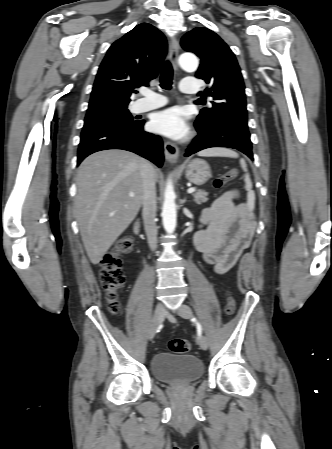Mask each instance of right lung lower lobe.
I'll return each mask as SVG.
<instances>
[{"instance_id":"right-lung-lower-lobe-1","label":"right lung lower lobe","mask_w":332,"mask_h":449,"mask_svg":"<svg viewBox=\"0 0 332 449\" xmlns=\"http://www.w3.org/2000/svg\"><path fill=\"white\" fill-rule=\"evenodd\" d=\"M144 120L122 127H96L83 130L78 148V161L88 155L107 149H123L134 152L161 167L164 160L163 144L159 136L144 131Z\"/></svg>"}]
</instances>
